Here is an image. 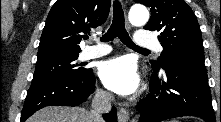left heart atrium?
I'll list each match as a JSON object with an SVG mask.
<instances>
[{
  "label": "left heart atrium",
  "instance_id": "left-heart-atrium-1",
  "mask_svg": "<svg viewBox=\"0 0 221 122\" xmlns=\"http://www.w3.org/2000/svg\"><path fill=\"white\" fill-rule=\"evenodd\" d=\"M99 77L109 90L120 95L132 94L139 85L135 64L125 56L103 62L99 68Z\"/></svg>",
  "mask_w": 221,
  "mask_h": 122
}]
</instances>
